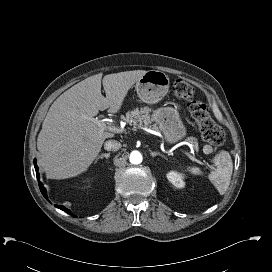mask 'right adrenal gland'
I'll list each match as a JSON object with an SVG mask.
<instances>
[{"instance_id":"2a0ac1e0","label":"right adrenal gland","mask_w":272,"mask_h":272,"mask_svg":"<svg viewBox=\"0 0 272 272\" xmlns=\"http://www.w3.org/2000/svg\"><path fill=\"white\" fill-rule=\"evenodd\" d=\"M106 158V159H108L109 157H110V153H103V154H101V155H99L98 157H97V160L95 161V162H97L99 159H102V158Z\"/></svg>"}]
</instances>
